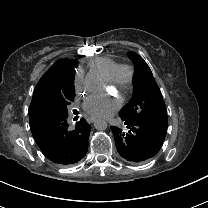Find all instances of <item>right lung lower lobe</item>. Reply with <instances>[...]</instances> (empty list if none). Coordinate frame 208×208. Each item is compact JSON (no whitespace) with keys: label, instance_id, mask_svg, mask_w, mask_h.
<instances>
[{"label":"right lung lower lobe","instance_id":"obj_1","mask_svg":"<svg viewBox=\"0 0 208 208\" xmlns=\"http://www.w3.org/2000/svg\"><path fill=\"white\" fill-rule=\"evenodd\" d=\"M29 120L37 145L53 163L75 164L86 155L91 127L84 119L73 130L68 128L67 116L44 118L32 111Z\"/></svg>","mask_w":208,"mask_h":208}]
</instances>
